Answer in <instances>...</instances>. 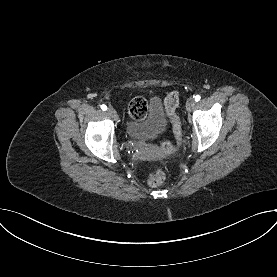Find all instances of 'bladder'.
Returning a JSON list of instances; mask_svg holds the SVG:
<instances>
[{"label":"bladder","mask_w":277,"mask_h":277,"mask_svg":"<svg viewBox=\"0 0 277 277\" xmlns=\"http://www.w3.org/2000/svg\"><path fill=\"white\" fill-rule=\"evenodd\" d=\"M167 125V114L160 99L152 98L145 116L141 119L128 120L125 130L129 138L142 141L158 136L166 130Z\"/></svg>","instance_id":"1"}]
</instances>
